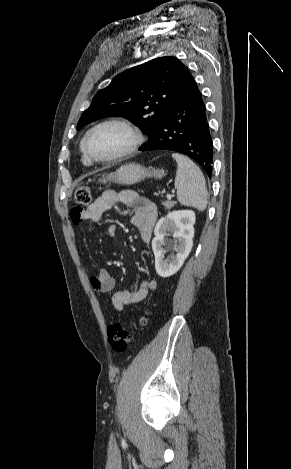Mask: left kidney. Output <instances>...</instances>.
<instances>
[{
	"instance_id": "obj_1",
	"label": "left kidney",
	"mask_w": 291,
	"mask_h": 469,
	"mask_svg": "<svg viewBox=\"0 0 291 469\" xmlns=\"http://www.w3.org/2000/svg\"><path fill=\"white\" fill-rule=\"evenodd\" d=\"M195 213L192 210H177L161 218L155 226V237L152 250L155 256V269L159 276L165 278L175 274L191 252L194 237ZM172 232L173 240L165 239L167 232ZM175 250L170 261L164 260L168 250Z\"/></svg>"
}]
</instances>
